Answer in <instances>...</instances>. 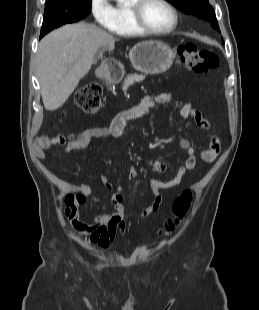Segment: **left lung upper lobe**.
Wrapping results in <instances>:
<instances>
[{"label":"left lung upper lobe","instance_id":"left-lung-upper-lobe-1","mask_svg":"<svg viewBox=\"0 0 259 310\" xmlns=\"http://www.w3.org/2000/svg\"><path fill=\"white\" fill-rule=\"evenodd\" d=\"M186 14L205 19L216 30L220 31L215 12L208 0H167Z\"/></svg>","mask_w":259,"mask_h":310}]
</instances>
